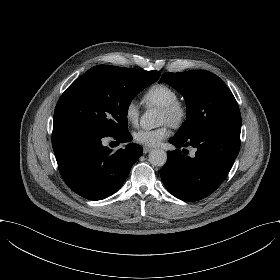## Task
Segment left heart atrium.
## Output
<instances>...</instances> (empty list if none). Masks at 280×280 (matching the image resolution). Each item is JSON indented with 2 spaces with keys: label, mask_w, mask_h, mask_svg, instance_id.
Returning <instances> with one entry per match:
<instances>
[{
  "label": "left heart atrium",
  "mask_w": 280,
  "mask_h": 280,
  "mask_svg": "<svg viewBox=\"0 0 280 280\" xmlns=\"http://www.w3.org/2000/svg\"><path fill=\"white\" fill-rule=\"evenodd\" d=\"M171 124L164 122L157 128H137L133 131L132 137L136 144L148 147H155L170 135Z\"/></svg>",
  "instance_id": "left-heart-atrium-1"
}]
</instances>
